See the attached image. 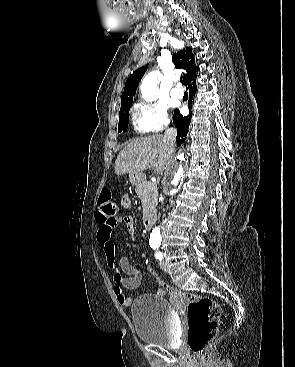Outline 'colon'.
I'll list each match as a JSON object with an SVG mask.
<instances>
[{
	"label": "colon",
	"instance_id": "obj_1",
	"mask_svg": "<svg viewBox=\"0 0 295 367\" xmlns=\"http://www.w3.org/2000/svg\"><path fill=\"white\" fill-rule=\"evenodd\" d=\"M117 205L111 197L109 189L101 192L97 220L109 222L115 219ZM149 273L161 287L162 293H168L176 298L188 301V336L190 350L202 357L208 342L216 335L220 320V305L213 298L192 293L180 292L171 288L152 268Z\"/></svg>",
	"mask_w": 295,
	"mask_h": 367
}]
</instances>
